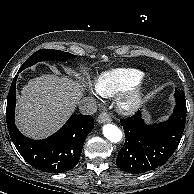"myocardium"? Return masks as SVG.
<instances>
[{"mask_svg": "<svg viewBox=\"0 0 194 194\" xmlns=\"http://www.w3.org/2000/svg\"><path fill=\"white\" fill-rule=\"evenodd\" d=\"M145 86L142 81L122 91L116 98V108L124 115L134 114L144 101Z\"/></svg>", "mask_w": 194, "mask_h": 194, "instance_id": "f54148a6", "label": "myocardium"}]
</instances>
